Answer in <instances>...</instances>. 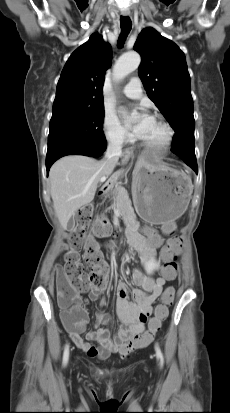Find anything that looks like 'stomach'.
Returning <instances> with one entry per match:
<instances>
[{
  "mask_svg": "<svg viewBox=\"0 0 230 413\" xmlns=\"http://www.w3.org/2000/svg\"><path fill=\"white\" fill-rule=\"evenodd\" d=\"M193 186L190 177L152 156L138 160L132 177L137 214L150 224L172 222L187 209Z\"/></svg>",
  "mask_w": 230,
  "mask_h": 413,
  "instance_id": "1",
  "label": "stomach"
}]
</instances>
